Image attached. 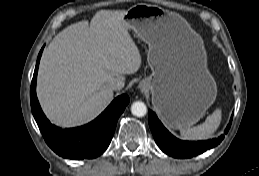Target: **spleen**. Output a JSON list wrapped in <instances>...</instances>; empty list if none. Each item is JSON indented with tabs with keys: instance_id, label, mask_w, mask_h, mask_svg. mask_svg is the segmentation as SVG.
Listing matches in <instances>:
<instances>
[{
	"instance_id": "1",
	"label": "spleen",
	"mask_w": 259,
	"mask_h": 176,
	"mask_svg": "<svg viewBox=\"0 0 259 176\" xmlns=\"http://www.w3.org/2000/svg\"><path fill=\"white\" fill-rule=\"evenodd\" d=\"M222 120V111L217 108L209 115L203 124L193 128H185L180 130L181 137L185 140H205L214 134L220 126Z\"/></svg>"
}]
</instances>
